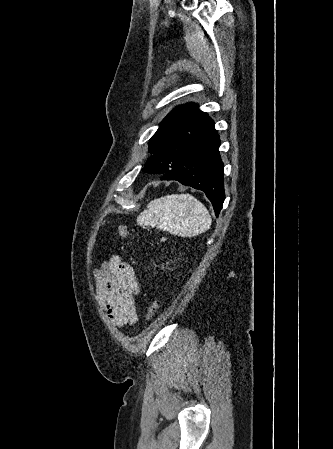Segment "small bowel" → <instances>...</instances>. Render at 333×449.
Returning <instances> with one entry per match:
<instances>
[{
  "label": "small bowel",
  "instance_id": "obj_1",
  "mask_svg": "<svg viewBox=\"0 0 333 449\" xmlns=\"http://www.w3.org/2000/svg\"><path fill=\"white\" fill-rule=\"evenodd\" d=\"M97 296L111 321L117 326L137 322L138 283L131 265L114 256L95 273Z\"/></svg>",
  "mask_w": 333,
  "mask_h": 449
}]
</instances>
